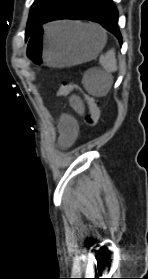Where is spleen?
<instances>
[{"label":"spleen","mask_w":148,"mask_h":279,"mask_svg":"<svg viewBox=\"0 0 148 279\" xmlns=\"http://www.w3.org/2000/svg\"><path fill=\"white\" fill-rule=\"evenodd\" d=\"M88 31H94L96 29L95 25H82ZM52 32L59 31V28H49ZM101 66L104 68L102 75V80L97 82L94 79L85 76L84 86L88 92L94 96H105L109 92L112 85L111 73L117 71V60L115 56V49L109 50L105 56L99 58Z\"/></svg>","instance_id":"3e777b00"}]
</instances>
